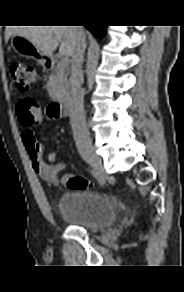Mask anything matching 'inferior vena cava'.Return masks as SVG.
Returning a JSON list of instances; mask_svg holds the SVG:
<instances>
[{"instance_id": "inferior-vena-cava-1", "label": "inferior vena cava", "mask_w": 184, "mask_h": 292, "mask_svg": "<svg viewBox=\"0 0 184 292\" xmlns=\"http://www.w3.org/2000/svg\"><path fill=\"white\" fill-rule=\"evenodd\" d=\"M79 32V38L76 47L72 53V66L70 84L71 91L69 103L71 106V123L74 134L76 146L80 152L92 151V141L87 128L85 111H84V97L81 89L84 76L82 65L84 61V53L86 49V38L82 26L76 27Z\"/></svg>"}]
</instances>
